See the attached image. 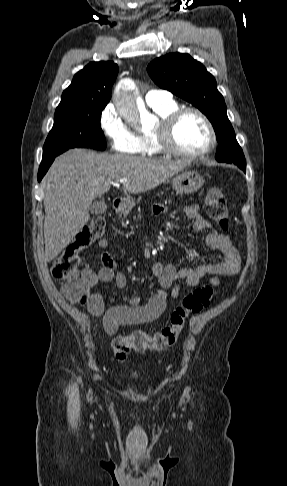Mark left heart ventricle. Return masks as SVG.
Masks as SVG:
<instances>
[{
	"instance_id": "b2bd125f",
	"label": "left heart ventricle",
	"mask_w": 287,
	"mask_h": 486,
	"mask_svg": "<svg viewBox=\"0 0 287 486\" xmlns=\"http://www.w3.org/2000/svg\"><path fill=\"white\" fill-rule=\"evenodd\" d=\"M173 140L179 149L195 152L208 145L209 134L203 121L197 115L189 113L178 121Z\"/></svg>"
}]
</instances>
